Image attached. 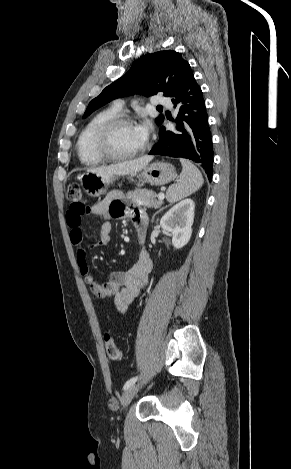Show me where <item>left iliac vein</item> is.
I'll return each mask as SVG.
<instances>
[{
	"label": "left iliac vein",
	"instance_id": "1",
	"mask_svg": "<svg viewBox=\"0 0 291 469\" xmlns=\"http://www.w3.org/2000/svg\"><path fill=\"white\" fill-rule=\"evenodd\" d=\"M138 389H139V385H132L125 390L121 398V404H122L123 409L127 408V406L132 401L133 397L137 393Z\"/></svg>",
	"mask_w": 291,
	"mask_h": 469
}]
</instances>
